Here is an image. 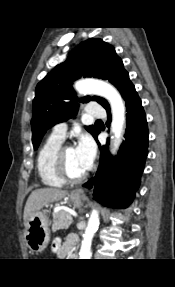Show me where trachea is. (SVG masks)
<instances>
[{
	"label": "trachea",
	"instance_id": "obj_1",
	"mask_svg": "<svg viewBox=\"0 0 175 287\" xmlns=\"http://www.w3.org/2000/svg\"><path fill=\"white\" fill-rule=\"evenodd\" d=\"M96 122H102L101 120H97Z\"/></svg>",
	"mask_w": 175,
	"mask_h": 287
}]
</instances>
